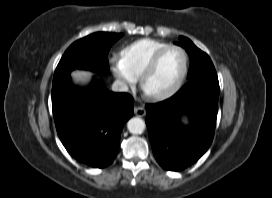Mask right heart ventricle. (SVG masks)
Wrapping results in <instances>:
<instances>
[{"label": "right heart ventricle", "mask_w": 272, "mask_h": 198, "mask_svg": "<svg viewBox=\"0 0 272 198\" xmlns=\"http://www.w3.org/2000/svg\"><path fill=\"white\" fill-rule=\"evenodd\" d=\"M167 45L169 44L156 39H140L124 47L121 58L128 69L139 77L154 54Z\"/></svg>", "instance_id": "e07e8e85"}]
</instances>
